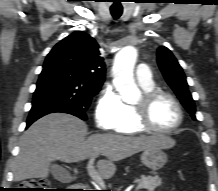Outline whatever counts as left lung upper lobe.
<instances>
[{"label": "left lung upper lobe", "instance_id": "obj_1", "mask_svg": "<svg viewBox=\"0 0 218 191\" xmlns=\"http://www.w3.org/2000/svg\"><path fill=\"white\" fill-rule=\"evenodd\" d=\"M157 61L167 83L191 114L192 118L196 119L194 100L188 90L186 77L177 59L168 48L161 46L157 51Z\"/></svg>", "mask_w": 218, "mask_h": 191}]
</instances>
